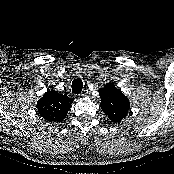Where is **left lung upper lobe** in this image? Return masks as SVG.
I'll use <instances>...</instances> for the list:
<instances>
[{
  "label": "left lung upper lobe",
  "instance_id": "left-lung-upper-lobe-1",
  "mask_svg": "<svg viewBox=\"0 0 174 174\" xmlns=\"http://www.w3.org/2000/svg\"><path fill=\"white\" fill-rule=\"evenodd\" d=\"M99 95L101 109L112 122L119 123L126 117L130 102L121 90L113 84H106L104 88L99 89Z\"/></svg>",
  "mask_w": 174,
  "mask_h": 174
}]
</instances>
